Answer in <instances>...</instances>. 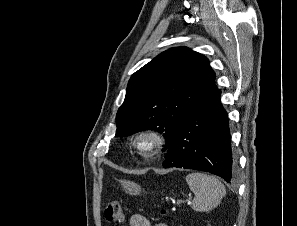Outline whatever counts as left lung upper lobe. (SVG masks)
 Returning a JSON list of instances; mask_svg holds the SVG:
<instances>
[{
	"label": "left lung upper lobe",
	"mask_w": 297,
	"mask_h": 226,
	"mask_svg": "<svg viewBox=\"0 0 297 226\" xmlns=\"http://www.w3.org/2000/svg\"><path fill=\"white\" fill-rule=\"evenodd\" d=\"M209 60L187 47L171 48L135 72L116 115V136L144 129L164 133L167 151L183 120L217 88Z\"/></svg>",
	"instance_id": "obj_1"
}]
</instances>
